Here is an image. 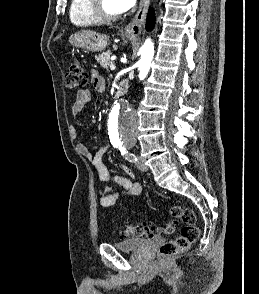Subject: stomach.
Instances as JSON below:
<instances>
[{
  "mask_svg": "<svg viewBox=\"0 0 259 294\" xmlns=\"http://www.w3.org/2000/svg\"><path fill=\"white\" fill-rule=\"evenodd\" d=\"M126 37L130 40L135 38V36L131 34H126ZM108 40L106 35L89 30L77 32L69 37V42L72 46L91 52L103 51L109 43Z\"/></svg>",
  "mask_w": 259,
  "mask_h": 294,
  "instance_id": "0dacf381",
  "label": "stomach"
}]
</instances>
